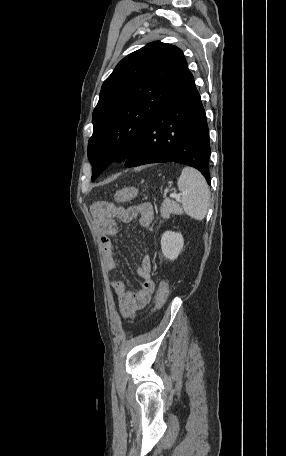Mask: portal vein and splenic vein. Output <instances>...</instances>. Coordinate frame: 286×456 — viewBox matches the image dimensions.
<instances>
[{"label": "portal vein and splenic vein", "mask_w": 286, "mask_h": 456, "mask_svg": "<svg viewBox=\"0 0 286 456\" xmlns=\"http://www.w3.org/2000/svg\"><path fill=\"white\" fill-rule=\"evenodd\" d=\"M170 197L179 199L180 198V194L172 193V194H170Z\"/></svg>", "instance_id": "portal-vein-and-splenic-vein-1"}]
</instances>
